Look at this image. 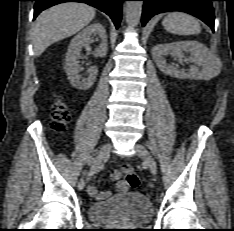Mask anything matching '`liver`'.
<instances>
[{
  "label": "liver",
  "instance_id": "liver-1",
  "mask_svg": "<svg viewBox=\"0 0 234 231\" xmlns=\"http://www.w3.org/2000/svg\"><path fill=\"white\" fill-rule=\"evenodd\" d=\"M95 9L83 3H62L43 11L33 28V48L40 56L51 44L70 37L88 25Z\"/></svg>",
  "mask_w": 234,
  "mask_h": 231
}]
</instances>
